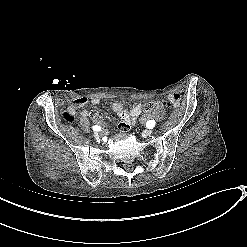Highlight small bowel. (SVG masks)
<instances>
[{"label": "small bowel", "mask_w": 247, "mask_h": 247, "mask_svg": "<svg viewBox=\"0 0 247 247\" xmlns=\"http://www.w3.org/2000/svg\"><path fill=\"white\" fill-rule=\"evenodd\" d=\"M168 100L173 106H177L180 102V96L178 93H172L169 95ZM89 102L97 106L101 103V99L99 97H92L91 99L83 96L78 97L75 99L74 104L68 108V111L72 115L79 114L83 118L91 117L96 121H101L103 116L98 111H78V108ZM110 108L117 114L119 118V128L123 132L128 131L134 126L139 118H141L143 122H146L151 119H160L163 114L162 108H156L153 112L143 113L142 105H136L131 110H127L120 102H112Z\"/></svg>", "instance_id": "obj_1"}]
</instances>
